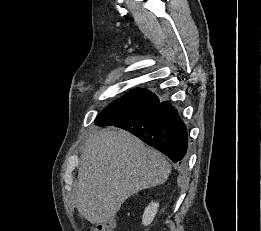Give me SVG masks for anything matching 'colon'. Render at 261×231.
Returning <instances> with one entry per match:
<instances>
[{"label":"colon","instance_id":"1","mask_svg":"<svg viewBox=\"0 0 261 231\" xmlns=\"http://www.w3.org/2000/svg\"><path fill=\"white\" fill-rule=\"evenodd\" d=\"M115 225V218L112 216L109 219H105L99 223H96L90 231H113Z\"/></svg>","mask_w":261,"mask_h":231}]
</instances>
